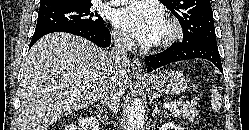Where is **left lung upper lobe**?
Masks as SVG:
<instances>
[{
    "mask_svg": "<svg viewBox=\"0 0 249 130\" xmlns=\"http://www.w3.org/2000/svg\"><path fill=\"white\" fill-rule=\"evenodd\" d=\"M178 19L183 43L195 40L216 42L210 0H160Z\"/></svg>",
    "mask_w": 249,
    "mask_h": 130,
    "instance_id": "obj_1",
    "label": "left lung upper lobe"
}]
</instances>
